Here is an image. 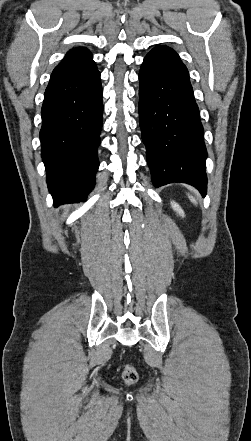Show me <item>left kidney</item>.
I'll use <instances>...</instances> for the list:
<instances>
[{
	"instance_id": "1",
	"label": "left kidney",
	"mask_w": 251,
	"mask_h": 441,
	"mask_svg": "<svg viewBox=\"0 0 251 441\" xmlns=\"http://www.w3.org/2000/svg\"><path fill=\"white\" fill-rule=\"evenodd\" d=\"M171 206L174 211H176L180 216L184 217V211L176 202L172 201Z\"/></svg>"
}]
</instances>
